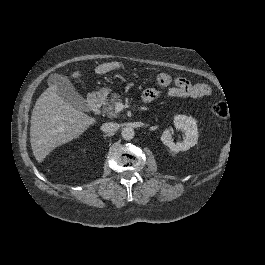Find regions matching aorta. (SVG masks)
Listing matches in <instances>:
<instances>
[{
  "label": "aorta",
  "mask_w": 265,
  "mask_h": 265,
  "mask_svg": "<svg viewBox=\"0 0 265 265\" xmlns=\"http://www.w3.org/2000/svg\"><path fill=\"white\" fill-rule=\"evenodd\" d=\"M134 129L132 127H124L122 129L121 135L125 140H131L134 137Z\"/></svg>",
  "instance_id": "762f6f07"
}]
</instances>
